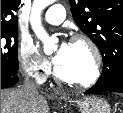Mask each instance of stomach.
<instances>
[{"label":"stomach","mask_w":123,"mask_h":113,"mask_svg":"<svg viewBox=\"0 0 123 113\" xmlns=\"http://www.w3.org/2000/svg\"><path fill=\"white\" fill-rule=\"evenodd\" d=\"M61 100L75 102L80 113H110L111 108L110 105L104 99L99 97L91 96L84 97L79 100H72L65 95L60 97Z\"/></svg>","instance_id":"1"}]
</instances>
